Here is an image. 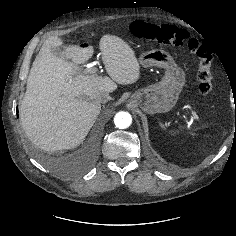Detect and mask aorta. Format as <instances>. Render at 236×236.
<instances>
[{"label":"aorta","mask_w":236,"mask_h":236,"mask_svg":"<svg viewBox=\"0 0 236 236\" xmlns=\"http://www.w3.org/2000/svg\"><path fill=\"white\" fill-rule=\"evenodd\" d=\"M132 123V117L128 112L120 111L114 116V124L119 129L128 128Z\"/></svg>","instance_id":"aorta-1"}]
</instances>
